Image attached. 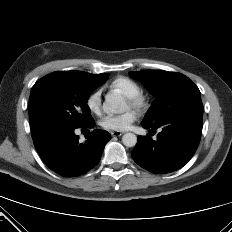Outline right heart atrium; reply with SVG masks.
I'll return each mask as SVG.
<instances>
[{
    "label": "right heart atrium",
    "mask_w": 232,
    "mask_h": 232,
    "mask_svg": "<svg viewBox=\"0 0 232 232\" xmlns=\"http://www.w3.org/2000/svg\"><path fill=\"white\" fill-rule=\"evenodd\" d=\"M86 106L91 113L95 115L101 114L102 101H101V92L99 90L93 91L87 96Z\"/></svg>",
    "instance_id": "d8ad5b80"
}]
</instances>
